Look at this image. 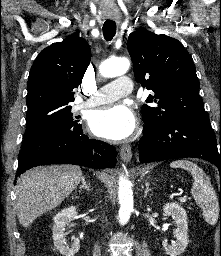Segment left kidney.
Masks as SVG:
<instances>
[{
    "label": "left kidney",
    "instance_id": "obj_1",
    "mask_svg": "<svg viewBox=\"0 0 221 256\" xmlns=\"http://www.w3.org/2000/svg\"><path fill=\"white\" fill-rule=\"evenodd\" d=\"M163 211L171 216L176 224L174 236L176 242L169 245L163 242L165 252L170 256L181 255L188 245V222L186 211L177 203H167L163 207Z\"/></svg>",
    "mask_w": 221,
    "mask_h": 256
}]
</instances>
